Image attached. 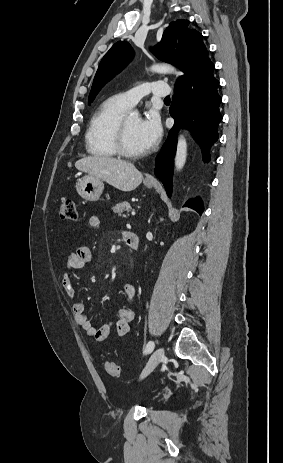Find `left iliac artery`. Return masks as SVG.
Instances as JSON below:
<instances>
[{"instance_id":"obj_1","label":"left iliac artery","mask_w":283,"mask_h":463,"mask_svg":"<svg viewBox=\"0 0 283 463\" xmlns=\"http://www.w3.org/2000/svg\"><path fill=\"white\" fill-rule=\"evenodd\" d=\"M154 346H155L154 342L149 341L148 344L145 347L144 353L147 354V353L151 352L154 349Z\"/></svg>"}]
</instances>
